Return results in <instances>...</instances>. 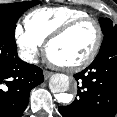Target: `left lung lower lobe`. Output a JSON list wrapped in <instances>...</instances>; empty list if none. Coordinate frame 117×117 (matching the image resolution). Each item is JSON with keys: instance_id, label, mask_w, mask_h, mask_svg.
<instances>
[{"instance_id": "0a47b994", "label": "left lung lower lobe", "mask_w": 117, "mask_h": 117, "mask_svg": "<svg viewBox=\"0 0 117 117\" xmlns=\"http://www.w3.org/2000/svg\"><path fill=\"white\" fill-rule=\"evenodd\" d=\"M80 85L77 98L59 106L63 117H114L117 113V37L100 51L94 61L74 75Z\"/></svg>"}]
</instances>
